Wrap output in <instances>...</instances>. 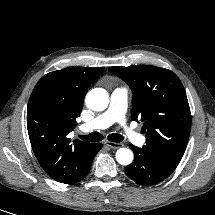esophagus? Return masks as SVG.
Returning a JSON list of instances; mask_svg holds the SVG:
<instances>
[{
    "instance_id": "1",
    "label": "esophagus",
    "mask_w": 215,
    "mask_h": 215,
    "mask_svg": "<svg viewBox=\"0 0 215 215\" xmlns=\"http://www.w3.org/2000/svg\"><path fill=\"white\" fill-rule=\"evenodd\" d=\"M104 144L112 149H118L123 146L122 143H115V142H110V141H105Z\"/></svg>"
}]
</instances>
